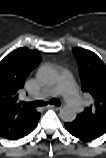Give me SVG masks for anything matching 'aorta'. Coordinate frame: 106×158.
I'll use <instances>...</instances> for the list:
<instances>
[{
  "label": "aorta",
  "instance_id": "1",
  "mask_svg": "<svg viewBox=\"0 0 106 158\" xmlns=\"http://www.w3.org/2000/svg\"><path fill=\"white\" fill-rule=\"evenodd\" d=\"M43 82L55 83L57 81V73L52 68H47L42 75ZM77 110L72 105H65L60 110V118L65 122H71L76 118Z\"/></svg>",
  "mask_w": 106,
  "mask_h": 158
}]
</instances>
